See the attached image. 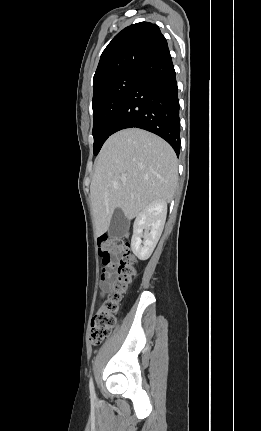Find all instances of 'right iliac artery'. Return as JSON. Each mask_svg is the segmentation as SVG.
<instances>
[{
  "instance_id": "82829eb1",
  "label": "right iliac artery",
  "mask_w": 261,
  "mask_h": 431,
  "mask_svg": "<svg viewBox=\"0 0 261 431\" xmlns=\"http://www.w3.org/2000/svg\"><path fill=\"white\" fill-rule=\"evenodd\" d=\"M89 387H90V395H91V398H92V400H94V399H96V394H95V390H94V385H93V380H92V378H90V384H89Z\"/></svg>"
}]
</instances>
